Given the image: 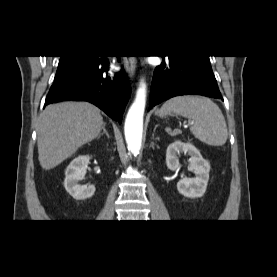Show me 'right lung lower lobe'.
<instances>
[{"mask_svg":"<svg viewBox=\"0 0 277 277\" xmlns=\"http://www.w3.org/2000/svg\"><path fill=\"white\" fill-rule=\"evenodd\" d=\"M108 69V59L97 58L93 63L54 82L45 106L63 100H84L95 104L114 120L121 121L131 94L130 82L123 70L110 77Z\"/></svg>","mask_w":277,"mask_h":277,"instance_id":"1","label":"right lung lower lobe"}]
</instances>
